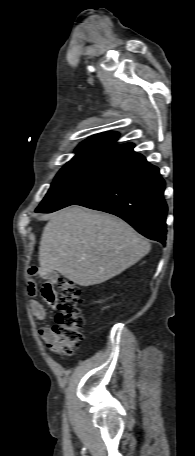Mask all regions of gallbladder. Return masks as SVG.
<instances>
[{
    "label": "gallbladder",
    "mask_w": 195,
    "mask_h": 456,
    "mask_svg": "<svg viewBox=\"0 0 195 456\" xmlns=\"http://www.w3.org/2000/svg\"><path fill=\"white\" fill-rule=\"evenodd\" d=\"M47 280H49L50 282H55L58 278L57 274L54 273V272H49L46 277H45Z\"/></svg>",
    "instance_id": "gallbladder-1"
}]
</instances>
